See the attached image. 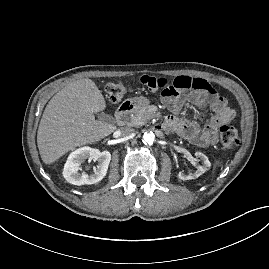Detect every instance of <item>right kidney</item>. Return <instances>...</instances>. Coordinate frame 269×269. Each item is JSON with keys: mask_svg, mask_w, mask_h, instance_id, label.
I'll list each match as a JSON object with an SVG mask.
<instances>
[{"mask_svg": "<svg viewBox=\"0 0 269 269\" xmlns=\"http://www.w3.org/2000/svg\"><path fill=\"white\" fill-rule=\"evenodd\" d=\"M86 159L98 162L97 168H94V173L90 175L80 172V166ZM110 160L111 154L109 151L100 152L98 149L91 147H81L69 155L64 166L63 176L67 182L73 185L98 183L105 177Z\"/></svg>", "mask_w": 269, "mask_h": 269, "instance_id": "obj_1", "label": "right kidney"}]
</instances>
